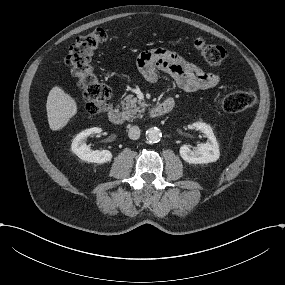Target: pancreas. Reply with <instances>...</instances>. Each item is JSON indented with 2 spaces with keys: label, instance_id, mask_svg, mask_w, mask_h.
<instances>
[{
  "label": "pancreas",
  "instance_id": "pancreas-1",
  "mask_svg": "<svg viewBox=\"0 0 285 285\" xmlns=\"http://www.w3.org/2000/svg\"><path fill=\"white\" fill-rule=\"evenodd\" d=\"M121 105L124 115L129 119H135L141 116V113L145 111L148 106L145 102L138 100L133 95H127L124 100L121 101Z\"/></svg>",
  "mask_w": 285,
  "mask_h": 285
}]
</instances>
